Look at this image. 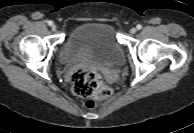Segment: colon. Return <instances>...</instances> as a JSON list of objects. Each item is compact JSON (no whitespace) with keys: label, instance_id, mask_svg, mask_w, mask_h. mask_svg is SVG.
<instances>
[{"label":"colon","instance_id":"obj_1","mask_svg":"<svg viewBox=\"0 0 194 133\" xmlns=\"http://www.w3.org/2000/svg\"><path fill=\"white\" fill-rule=\"evenodd\" d=\"M73 92L84 98H88V107H94L98 102L111 97L112 90L104 84L101 73L78 69L73 74Z\"/></svg>","mask_w":194,"mask_h":133}]
</instances>
